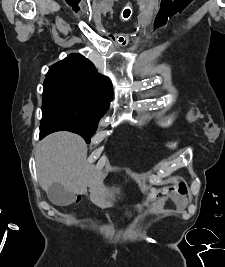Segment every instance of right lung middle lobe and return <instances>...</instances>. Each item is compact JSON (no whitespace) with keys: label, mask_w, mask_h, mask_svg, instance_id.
<instances>
[{"label":"right lung middle lobe","mask_w":225,"mask_h":267,"mask_svg":"<svg viewBox=\"0 0 225 267\" xmlns=\"http://www.w3.org/2000/svg\"><path fill=\"white\" fill-rule=\"evenodd\" d=\"M107 109L82 88L65 83H44L41 121L55 122L62 130L81 135L87 143Z\"/></svg>","instance_id":"right-lung-middle-lobe-1"}]
</instances>
